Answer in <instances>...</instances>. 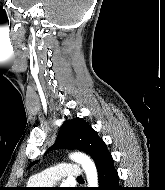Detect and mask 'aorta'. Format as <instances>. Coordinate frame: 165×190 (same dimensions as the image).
Listing matches in <instances>:
<instances>
[{
  "instance_id": "1",
  "label": "aorta",
  "mask_w": 165,
  "mask_h": 190,
  "mask_svg": "<svg viewBox=\"0 0 165 190\" xmlns=\"http://www.w3.org/2000/svg\"><path fill=\"white\" fill-rule=\"evenodd\" d=\"M71 159L82 165L83 170L86 174L88 186L97 187L98 186V173L94 162L85 154L74 153L71 155Z\"/></svg>"
}]
</instances>
